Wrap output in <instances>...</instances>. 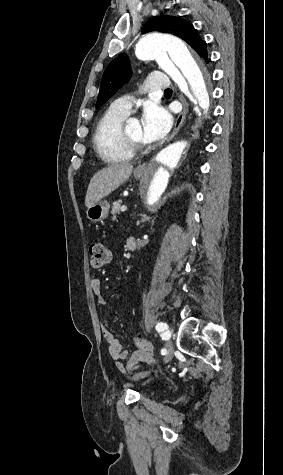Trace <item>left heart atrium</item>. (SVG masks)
<instances>
[{"mask_svg":"<svg viewBox=\"0 0 283 475\" xmlns=\"http://www.w3.org/2000/svg\"><path fill=\"white\" fill-rule=\"evenodd\" d=\"M141 125L143 137L153 142L163 139L172 126V116L167 109L158 103L148 104L142 113Z\"/></svg>","mask_w":283,"mask_h":475,"instance_id":"obj_1","label":"left heart atrium"}]
</instances>
